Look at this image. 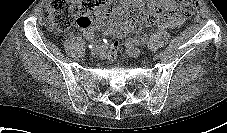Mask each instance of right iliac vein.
<instances>
[{"label":"right iliac vein","mask_w":227,"mask_h":133,"mask_svg":"<svg viewBox=\"0 0 227 133\" xmlns=\"http://www.w3.org/2000/svg\"><path fill=\"white\" fill-rule=\"evenodd\" d=\"M102 49H99V48H93L91 50V55L94 56V57H97L99 56L101 53H102Z\"/></svg>","instance_id":"63e3f726"}]
</instances>
